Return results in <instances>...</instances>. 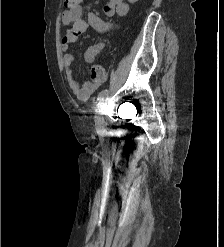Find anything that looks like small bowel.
Returning a JSON list of instances; mask_svg holds the SVG:
<instances>
[{"mask_svg":"<svg viewBox=\"0 0 224 247\" xmlns=\"http://www.w3.org/2000/svg\"><path fill=\"white\" fill-rule=\"evenodd\" d=\"M103 11L105 15L109 17L115 14L118 16H125L128 14L129 6L124 0H108L103 7ZM62 23L65 26H70V28L66 30L61 43L62 50L64 51V74L72 93L80 100H87L97 90L100 83L98 81H92L80 85L75 80L73 74L72 62L74 56L68 51L71 44L76 41L77 37L84 33L89 27H92L99 33H105L111 30L114 25L111 22L102 20L93 12H88L86 17H83V9L81 5L65 10L62 14ZM103 46L104 41H101L89 47L84 53V62L87 64L94 62Z\"/></svg>","mask_w":224,"mask_h":247,"instance_id":"c3829d8e","label":"small bowel"}]
</instances>
